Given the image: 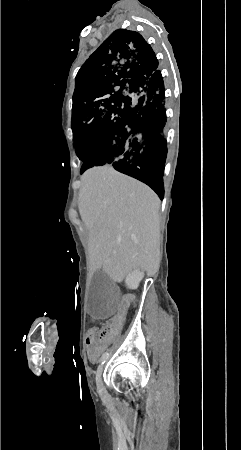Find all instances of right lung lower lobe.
Here are the masks:
<instances>
[{"label":"right lung lower lobe","mask_w":241,"mask_h":450,"mask_svg":"<svg viewBox=\"0 0 241 450\" xmlns=\"http://www.w3.org/2000/svg\"><path fill=\"white\" fill-rule=\"evenodd\" d=\"M145 107L143 113L125 125L116 128L102 138L92 149H88V131L76 135L77 155L86 156L95 161L104 156L108 147L118 139L133 134H141L143 141L130 152L115 161L113 167L124 174L132 176L151 187L163 199V174L167 156V144L163 135L166 122L165 89L160 70L146 77ZM90 152V153H89Z\"/></svg>","instance_id":"right-lung-lower-lobe-1"}]
</instances>
